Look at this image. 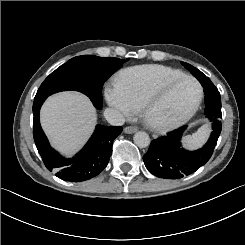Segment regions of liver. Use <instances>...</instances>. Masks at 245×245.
<instances>
[{"label": "liver", "mask_w": 245, "mask_h": 245, "mask_svg": "<svg viewBox=\"0 0 245 245\" xmlns=\"http://www.w3.org/2000/svg\"><path fill=\"white\" fill-rule=\"evenodd\" d=\"M39 119L50 147L68 160L75 157L91 138L98 124V113L86 94L66 90L46 98Z\"/></svg>", "instance_id": "obj_1"}]
</instances>
